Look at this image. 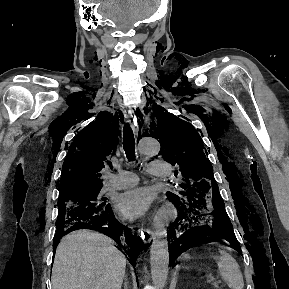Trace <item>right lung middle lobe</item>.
Listing matches in <instances>:
<instances>
[{
	"label": "right lung middle lobe",
	"instance_id": "right-lung-middle-lobe-1",
	"mask_svg": "<svg viewBox=\"0 0 289 289\" xmlns=\"http://www.w3.org/2000/svg\"><path fill=\"white\" fill-rule=\"evenodd\" d=\"M106 198L100 195V189L74 192L59 197L57 232L64 230L81 217L93 216L105 212L110 208Z\"/></svg>",
	"mask_w": 289,
	"mask_h": 289
}]
</instances>
